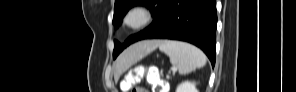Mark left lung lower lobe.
Masks as SVG:
<instances>
[{
    "label": "left lung lower lobe",
    "instance_id": "1",
    "mask_svg": "<svg viewBox=\"0 0 296 92\" xmlns=\"http://www.w3.org/2000/svg\"><path fill=\"white\" fill-rule=\"evenodd\" d=\"M216 0H169L161 26L143 39H173L202 49L215 65Z\"/></svg>",
    "mask_w": 296,
    "mask_h": 92
}]
</instances>
